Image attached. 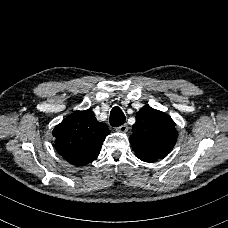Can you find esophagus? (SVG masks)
I'll list each match as a JSON object with an SVG mask.
<instances>
[{
  "label": "esophagus",
  "instance_id": "1",
  "mask_svg": "<svg viewBox=\"0 0 228 228\" xmlns=\"http://www.w3.org/2000/svg\"><path fill=\"white\" fill-rule=\"evenodd\" d=\"M117 131L118 132H122V133L127 132L128 131V125L127 124H122L121 126H119L117 128Z\"/></svg>",
  "mask_w": 228,
  "mask_h": 228
}]
</instances>
